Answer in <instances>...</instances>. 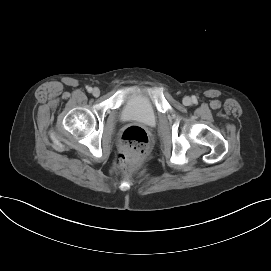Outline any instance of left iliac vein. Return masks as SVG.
Segmentation results:
<instances>
[{
	"mask_svg": "<svg viewBox=\"0 0 271 271\" xmlns=\"http://www.w3.org/2000/svg\"><path fill=\"white\" fill-rule=\"evenodd\" d=\"M192 103V100L190 97H184L183 98V104L184 105H190Z\"/></svg>",
	"mask_w": 271,
	"mask_h": 271,
	"instance_id": "1",
	"label": "left iliac vein"
}]
</instances>
